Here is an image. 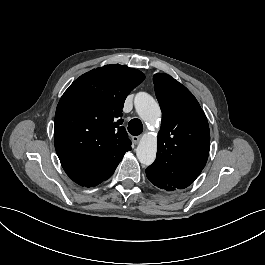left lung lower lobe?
<instances>
[{
	"instance_id": "0a47b994",
	"label": "left lung lower lobe",
	"mask_w": 265,
	"mask_h": 265,
	"mask_svg": "<svg viewBox=\"0 0 265 265\" xmlns=\"http://www.w3.org/2000/svg\"><path fill=\"white\" fill-rule=\"evenodd\" d=\"M146 175H147L148 179L150 180V182L153 185L159 187L160 189H163V190H166V191H174V190H176V188L166 184L165 182H163L159 178L151 175L150 173L146 172Z\"/></svg>"
}]
</instances>
